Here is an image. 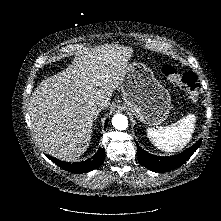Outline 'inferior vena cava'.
Instances as JSON below:
<instances>
[{
    "instance_id": "602c4592",
    "label": "inferior vena cava",
    "mask_w": 221,
    "mask_h": 221,
    "mask_svg": "<svg viewBox=\"0 0 221 221\" xmlns=\"http://www.w3.org/2000/svg\"><path fill=\"white\" fill-rule=\"evenodd\" d=\"M107 104H108V99H106L105 97H101L96 100V105L100 106L101 108L106 107Z\"/></svg>"
}]
</instances>
